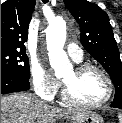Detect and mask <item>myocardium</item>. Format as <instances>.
Segmentation results:
<instances>
[{
    "label": "myocardium",
    "instance_id": "1",
    "mask_svg": "<svg viewBox=\"0 0 122 123\" xmlns=\"http://www.w3.org/2000/svg\"><path fill=\"white\" fill-rule=\"evenodd\" d=\"M88 70L97 71L98 73H100L103 76V78L105 79L107 86H108L107 96L100 102H96V103L84 102V101L76 98L74 96V94L72 93L71 88L63 81L62 97L68 104L73 105V106H79V107H84V108H99V107L104 106L111 100V98L113 96V92H114L113 81H112L111 77L108 75V73L104 69H102L101 67H99L97 65H94L91 63H81V64H78L74 68V71L78 75H81Z\"/></svg>",
    "mask_w": 122,
    "mask_h": 123
}]
</instances>
